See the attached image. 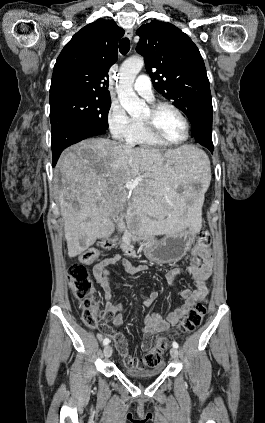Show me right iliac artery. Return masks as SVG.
Listing matches in <instances>:
<instances>
[{
	"mask_svg": "<svg viewBox=\"0 0 265 423\" xmlns=\"http://www.w3.org/2000/svg\"><path fill=\"white\" fill-rule=\"evenodd\" d=\"M109 342H110V340L108 338H105L103 340V345H107V344H109Z\"/></svg>",
	"mask_w": 265,
	"mask_h": 423,
	"instance_id": "obj_1",
	"label": "right iliac artery"
}]
</instances>
